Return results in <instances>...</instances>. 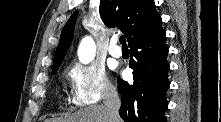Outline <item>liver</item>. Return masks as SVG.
<instances>
[{
	"label": "liver",
	"mask_w": 221,
	"mask_h": 122,
	"mask_svg": "<svg viewBox=\"0 0 221 122\" xmlns=\"http://www.w3.org/2000/svg\"><path fill=\"white\" fill-rule=\"evenodd\" d=\"M52 122H109L108 112L105 106H89L66 116L54 118ZM117 122H121L119 117Z\"/></svg>",
	"instance_id": "1"
}]
</instances>
